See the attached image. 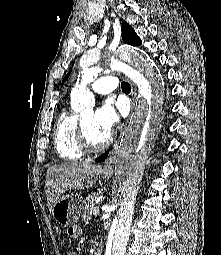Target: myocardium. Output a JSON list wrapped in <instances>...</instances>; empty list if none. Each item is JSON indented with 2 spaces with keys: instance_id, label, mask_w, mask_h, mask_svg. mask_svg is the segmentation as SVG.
<instances>
[{
  "instance_id": "1",
  "label": "myocardium",
  "mask_w": 221,
  "mask_h": 255,
  "mask_svg": "<svg viewBox=\"0 0 221 255\" xmlns=\"http://www.w3.org/2000/svg\"><path fill=\"white\" fill-rule=\"evenodd\" d=\"M78 140H79V144L81 149L85 152V153H98L103 151L104 149H106L108 147V145L110 144L112 137L111 134L108 135V137L106 138V140L104 142H102L99 145H95L93 144L84 129L83 126V122L82 120L78 121Z\"/></svg>"
}]
</instances>
